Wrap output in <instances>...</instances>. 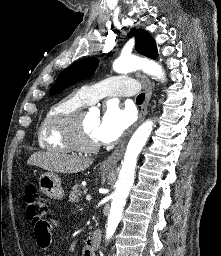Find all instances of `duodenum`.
Returning a JSON list of instances; mask_svg holds the SVG:
<instances>
[{"label":"duodenum","instance_id":"1","mask_svg":"<svg viewBox=\"0 0 221 256\" xmlns=\"http://www.w3.org/2000/svg\"><path fill=\"white\" fill-rule=\"evenodd\" d=\"M101 234L99 230L93 231L85 240L86 246L95 253L99 243H100Z\"/></svg>","mask_w":221,"mask_h":256}]
</instances>
